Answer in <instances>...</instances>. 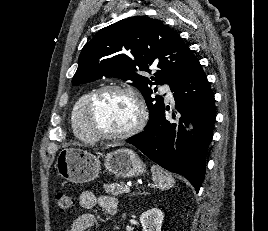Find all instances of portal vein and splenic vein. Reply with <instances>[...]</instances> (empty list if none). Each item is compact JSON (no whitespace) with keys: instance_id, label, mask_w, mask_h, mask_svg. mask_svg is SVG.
Returning a JSON list of instances; mask_svg holds the SVG:
<instances>
[{"instance_id":"1","label":"portal vein and splenic vein","mask_w":268,"mask_h":231,"mask_svg":"<svg viewBox=\"0 0 268 231\" xmlns=\"http://www.w3.org/2000/svg\"><path fill=\"white\" fill-rule=\"evenodd\" d=\"M130 191V187L129 186H125L124 187V192L128 193Z\"/></svg>"}]
</instances>
